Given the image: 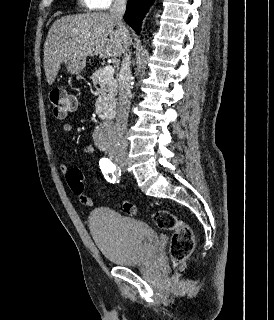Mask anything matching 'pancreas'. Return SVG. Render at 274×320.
Returning <instances> with one entry per match:
<instances>
[{
    "label": "pancreas",
    "mask_w": 274,
    "mask_h": 320,
    "mask_svg": "<svg viewBox=\"0 0 274 320\" xmlns=\"http://www.w3.org/2000/svg\"><path fill=\"white\" fill-rule=\"evenodd\" d=\"M102 72V68H99L91 76V80H93V84L97 88L98 94H100L95 106L101 112H109L117 104V80H114L113 76L107 78Z\"/></svg>",
    "instance_id": "1"
}]
</instances>
